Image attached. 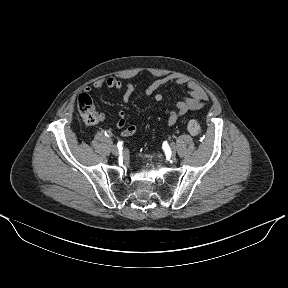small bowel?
Listing matches in <instances>:
<instances>
[{"instance_id": "small-bowel-1", "label": "small bowel", "mask_w": 288, "mask_h": 288, "mask_svg": "<svg viewBox=\"0 0 288 288\" xmlns=\"http://www.w3.org/2000/svg\"><path fill=\"white\" fill-rule=\"evenodd\" d=\"M176 84L186 88L187 97L176 103L175 110H167V124L169 126L174 125L181 116L186 114L188 111L199 110L205 106L208 101V96L204 89L194 81L188 78L176 74H170L154 80L145 90L146 95H154V100L160 102L162 95L156 93V91L164 85ZM93 87L95 89L110 88V89H123V95L121 98L122 103H128L134 93V85L130 82L122 83L120 80L108 77L102 78L94 82ZM85 92H91V88L87 87ZM116 126L121 129V135L123 137H130L137 133L138 126L128 125L127 126V115L125 111L120 110L117 112ZM104 119V115H101V121Z\"/></svg>"}]
</instances>
